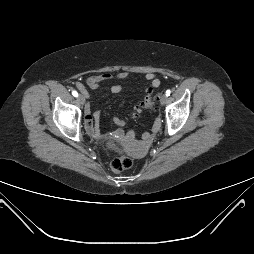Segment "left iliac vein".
I'll return each mask as SVG.
<instances>
[{
    "instance_id": "left-iliac-vein-1",
    "label": "left iliac vein",
    "mask_w": 254,
    "mask_h": 254,
    "mask_svg": "<svg viewBox=\"0 0 254 254\" xmlns=\"http://www.w3.org/2000/svg\"><path fill=\"white\" fill-rule=\"evenodd\" d=\"M167 100H168V98H167L166 94L161 95V97H160V103L162 105H165L167 103Z\"/></svg>"
}]
</instances>
